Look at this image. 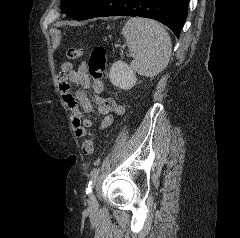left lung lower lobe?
<instances>
[{"mask_svg": "<svg viewBox=\"0 0 240 238\" xmlns=\"http://www.w3.org/2000/svg\"><path fill=\"white\" fill-rule=\"evenodd\" d=\"M189 0H91L75 20L105 16H140L168 26L179 37Z\"/></svg>", "mask_w": 240, "mask_h": 238, "instance_id": "obj_1", "label": "left lung lower lobe"}]
</instances>
